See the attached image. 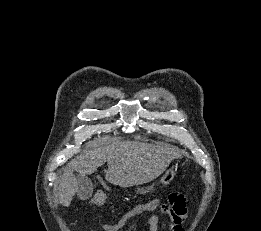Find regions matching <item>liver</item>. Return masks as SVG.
I'll use <instances>...</instances> for the list:
<instances>
[{"label":"liver","instance_id":"6515ba94","mask_svg":"<svg viewBox=\"0 0 261 231\" xmlns=\"http://www.w3.org/2000/svg\"><path fill=\"white\" fill-rule=\"evenodd\" d=\"M178 157L174 149L134 141H117L85 150L64 170L58 186L60 204L68 207L79 189L74 172L86 176L107 162L106 180L120 187H130L156 179Z\"/></svg>","mask_w":261,"mask_h":231}]
</instances>
